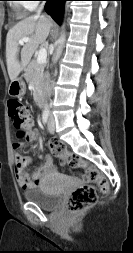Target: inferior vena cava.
I'll return each mask as SVG.
<instances>
[{
	"label": "inferior vena cava",
	"mask_w": 133,
	"mask_h": 253,
	"mask_svg": "<svg viewBox=\"0 0 133 253\" xmlns=\"http://www.w3.org/2000/svg\"><path fill=\"white\" fill-rule=\"evenodd\" d=\"M42 7H43V3H42L41 7L39 8V10H38V12H37L38 14H40ZM51 90H52V87L50 86V87L48 88V94H49V95L51 94ZM50 118L53 119L52 115H50Z\"/></svg>",
	"instance_id": "602c4592"
}]
</instances>
